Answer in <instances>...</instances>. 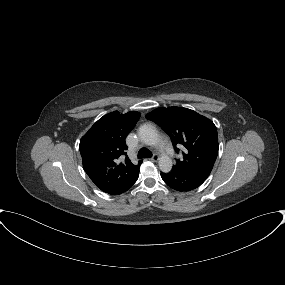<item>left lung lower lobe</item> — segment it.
Segmentation results:
<instances>
[{
  "label": "left lung lower lobe",
  "mask_w": 285,
  "mask_h": 285,
  "mask_svg": "<svg viewBox=\"0 0 285 285\" xmlns=\"http://www.w3.org/2000/svg\"><path fill=\"white\" fill-rule=\"evenodd\" d=\"M211 171L204 169L183 170L173 167L169 173H161L163 181L177 191H190L199 187Z\"/></svg>",
  "instance_id": "1"
}]
</instances>
